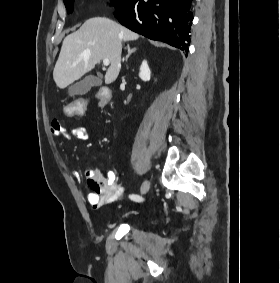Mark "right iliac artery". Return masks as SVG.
Returning a JSON list of instances; mask_svg holds the SVG:
<instances>
[{"label": "right iliac artery", "instance_id": "1", "mask_svg": "<svg viewBox=\"0 0 280 283\" xmlns=\"http://www.w3.org/2000/svg\"><path fill=\"white\" fill-rule=\"evenodd\" d=\"M129 197H130V199H132V200H134L136 202H139V201L143 200L142 197H140L139 195H136V194H132Z\"/></svg>", "mask_w": 280, "mask_h": 283}]
</instances>
